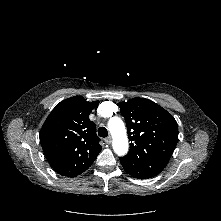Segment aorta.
<instances>
[{
  "label": "aorta",
  "instance_id": "762f6f07",
  "mask_svg": "<svg viewBox=\"0 0 221 221\" xmlns=\"http://www.w3.org/2000/svg\"><path fill=\"white\" fill-rule=\"evenodd\" d=\"M108 128L112 135L114 152L123 156L128 152V139L123 121L118 117H112L108 122Z\"/></svg>",
  "mask_w": 221,
  "mask_h": 221
}]
</instances>
